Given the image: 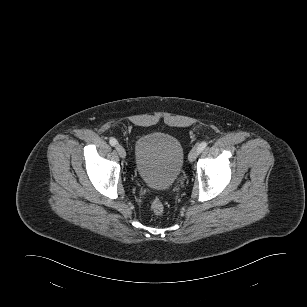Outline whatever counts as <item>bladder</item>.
I'll use <instances>...</instances> for the list:
<instances>
[{
	"label": "bladder",
	"instance_id": "1",
	"mask_svg": "<svg viewBox=\"0 0 307 307\" xmlns=\"http://www.w3.org/2000/svg\"><path fill=\"white\" fill-rule=\"evenodd\" d=\"M184 155L183 146L175 136L162 132L149 133L136 142L135 171L148 187L166 190L180 176Z\"/></svg>",
	"mask_w": 307,
	"mask_h": 307
}]
</instances>
